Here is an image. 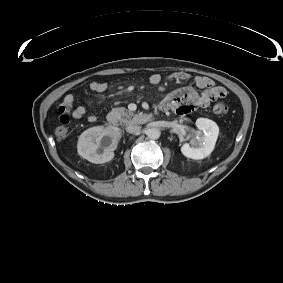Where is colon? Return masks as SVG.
<instances>
[{
	"label": "colon",
	"mask_w": 283,
	"mask_h": 283,
	"mask_svg": "<svg viewBox=\"0 0 283 283\" xmlns=\"http://www.w3.org/2000/svg\"><path fill=\"white\" fill-rule=\"evenodd\" d=\"M212 112L216 115V116H223L226 115L229 112V107L227 104L223 103V102H219L216 103L213 108H212ZM61 121V125H59L56 129H55V136L58 139H63L67 136L68 134V118L64 117Z\"/></svg>",
	"instance_id": "1"
}]
</instances>
